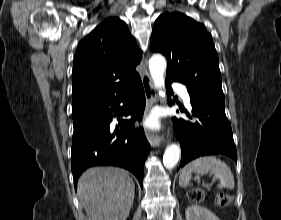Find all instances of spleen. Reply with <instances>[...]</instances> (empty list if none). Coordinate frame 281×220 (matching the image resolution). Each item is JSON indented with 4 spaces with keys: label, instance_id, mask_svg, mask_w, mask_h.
<instances>
[{
    "label": "spleen",
    "instance_id": "spleen-1",
    "mask_svg": "<svg viewBox=\"0 0 281 220\" xmlns=\"http://www.w3.org/2000/svg\"><path fill=\"white\" fill-rule=\"evenodd\" d=\"M192 173L213 175L214 178L220 181L219 188L234 189L235 182L231 169L226 163L217 159L215 156L200 157L185 165L180 171L179 184L186 187L191 179Z\"/></svg>",
    "mask_w": 281,
    "mask_h": 220
}]
</instances>
